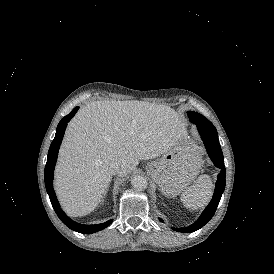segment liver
I'll return each instance as SVG.
<instances>
[{
	"instance_id": "1",
	"label": "liver",
	"mask_w": 274,
	"mask_h": 274,
	"mask_svg": "<svg viewBox=\"0 0 274 274\" xmlns=\"http://www.w3.org/2000/svg\"><path fill=\"white\" fill-rule=\"evenodd\" d=\"M177 134V137H171ZM185 134L170 107L140 100L96 101L69 123L56 168V190L72 216L92 212L112 176L165 154Z\"/></svg>"
}]
</instances>
